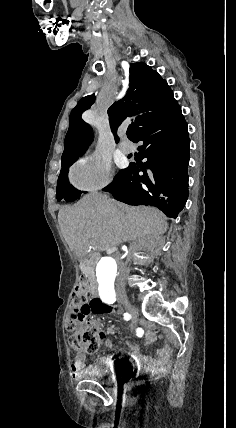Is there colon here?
<instances>
[{
  "mask_svg": "<svg viewBox=\"0 0 236 428\" xmlns=\"http://www.w3.org/2000/svg\"><path fill=\"white\" fill-rule=\"evenodd\" d=\"M109 310L92 294L89 282L82 278L71 294V308L65 320V329L70 333V346L77 351L94 353L100 345V335L90 316Z\"/></svg>",
  "mask_w": 236,
  "mask_h": 428,
  "instance_id": "obj_1",
  "label": "colon"
}]
</instances>
